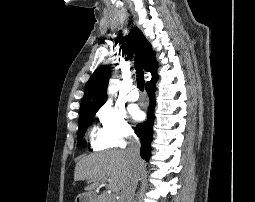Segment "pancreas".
<instances>
[{"label":"pancreas","instance_id":"cf45deb5","mask_svg":"<svg viewBox=\"0 0 255 202\" xmlns=\"http://www.w3.org/2000/svg\"><path fill=\"white\" fill-rule=\"evenodd\" d=\"M97 202H116L113 196L108 194H102L98 196Z\"/></svg>","mask_w":255,"mask_h":202}]
</instances>
